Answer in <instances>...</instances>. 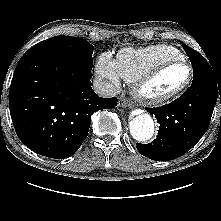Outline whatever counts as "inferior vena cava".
<instances>
[{
    "instance_id": "inferior-vena-cava-1",
    "label": "inferior vena cava",
    "mask_w": 221,
    "mask_h": 221,
    "mask_svg": "<svg viewBox=\"0 0 221 221\" xmlns=\"http://www.w3.org/2000/svg\"><path fill=\"white\" fill-rule=\"evenodd\" d=\"M93 89L96 94L105 98L113 97L117 94L115 86L112 83L101 78H97L94 80Z\"/></svg>"
}]
</instances>
